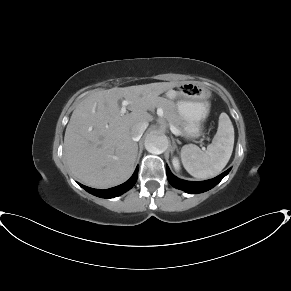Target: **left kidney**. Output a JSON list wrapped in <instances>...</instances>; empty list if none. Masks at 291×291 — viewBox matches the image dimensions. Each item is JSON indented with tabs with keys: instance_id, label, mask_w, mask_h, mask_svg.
<instances>
[{
	"instance_id": "obj_1",
	"label": "left kidney",
	"mask_w": 291,
	"mask_h": 291,
	"mask_svg": "<svg viewBox=\"0 0 291 291\" xmlns=\"http://www.w3.org/2000/svg\"><path fill=\"white\" fill-rule=\"evenodd\" d=\"M172 164H173V167L176 171H180V162H179V159L177 157H173Z\"/></svg>"
}]
</instances>
